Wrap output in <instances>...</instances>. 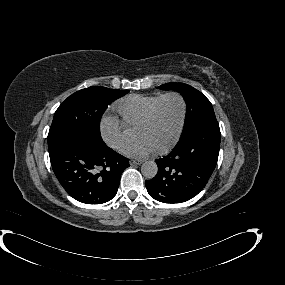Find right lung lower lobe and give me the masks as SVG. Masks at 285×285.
<instances>
[{"label":"right lung lower lobe","mask_w":285,"mask_h":285,"mask_svg":"<svg viewBox=\"0 0 285 285\" xmlns=\"http://www.w3.org/2000/svg\"><path fill=\"white\" fill-rule=\"evenodd\" d=\"M53 171L67 193L86 204H102L117 193L129 160L103 144L70 137L51 149Z\"/></svg>","instance_id":"1"}]
</instances>
